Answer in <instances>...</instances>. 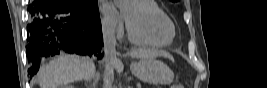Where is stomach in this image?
<instances>
[{
    "instance_id": "obj_1",
    "label": "stomach",
    "mask_w": 267,
    "mask_h": 88,
    "mask_svg": "<svg viewBox=\"0 0 267 88\" xmlns=\"http://www.w3.org/2000/svg\"><path fill=\"white\" fill-rule=\"evenodd\" d=\"M131 71L140 80L152 84H168L173 79L170 68L155 58L141 59L133 63Z\"/></svg>"
}]
</instances>
